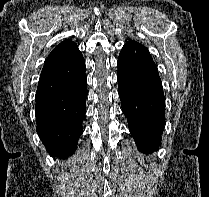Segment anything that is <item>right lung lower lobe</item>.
<instances>
[{"instance_id":"1","label":"right lung lower lobe","mask_w":209,"mask_h":197,"mask_svg":"<svg viewBox=\"0 0 209 197\" xmlns=\"http://www.w3.org/2000/svg\"><path fill=\"white\" fill-rule=\"evenodd\" d=\"M86 98L85 60L79 50L40 75L35 104L37 133L50 154L65 158L76 150Z\"/></svg>"}]
</instances>
